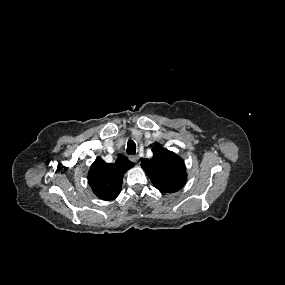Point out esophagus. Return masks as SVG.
Segmentation results:
<instances>
[{"label": "esophagus", "mask_w": 285, "mask_h": 285, "mask_svg": "<svg viewBox=\"0 0 285 285\" xmlns=\"http://www.w3.org/2000/svg\"><path fill=\"white\" fill-rule=\"evenodd\" d=\"M129 159L134 162V163H137L138 160H139V157L137 155H130L129 156Z\"/></svg>", "instance_id": "1"}]
</instances>
